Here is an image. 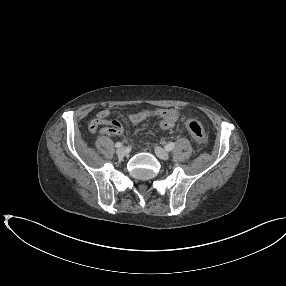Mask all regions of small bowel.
I'll return each instance as SVG.
<instances>
[{
    "mask_svg": "<svg viewBox=\"0 0 286 286\" xmlns=\"http://www.w3.org/2000/svg\"><path fill=\"white\" fill-rule=\"evenodd\" d=\"M182 114L183 111L174 108L145 110L130 114L129 120L133 124H139L150 117H156L161 129L171 130ZM109 116V109L100 110L96 117L90 121L88 130L94 133L100 128L101 133L104 135H122L124 131L123 125L117 120H109Z\"/></svg>",
    "mask_w": 286,
    "mask_h": 286,
    "instance_id": "obj_1",
    "label": "small bowel"
}]
</instances>
